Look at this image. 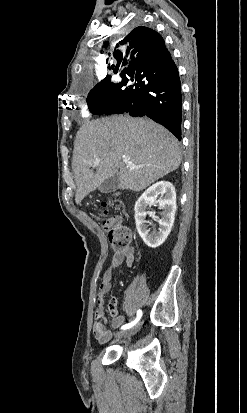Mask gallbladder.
<instances>
[{"label":"gallbladder","mask_w":247,"mask_h":413,"mask_svg":"<svg viewBox=\"0 0 247 413\" xmlns=\"http://www.w3.org/2000/svg\"><path fill=\"white\" fill-rule=\"evenodd\" d=\"M119 182L118 176H108V178H105L100 186H98V190H101V192H114V190H117Z\"/></svg>","instance_id":"obj_1"}]
</instances>
